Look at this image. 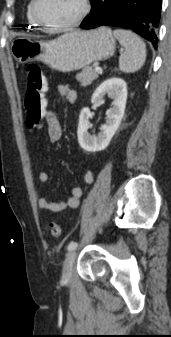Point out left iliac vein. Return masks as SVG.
I'll use <instances>...</instances> for the list:
<instances>
[{
  "label": "left iliac vein",
  "mask_w": 171,
  "mask_h": 337,
  "mask_svg": "<svg viewBox=\"0 0 171 337\" xmlns=\"http://www.w3.org/2000/svg\"><path fill=\"white\" fill-rule=\"evenodd\" d=\"M75 259H76V252L70 251L64 260L63 270H62V279L66 283H69L71 281L72 268H73Z\"/></svg>",
  "instance_id": "obj_1"
}]
</instances>
